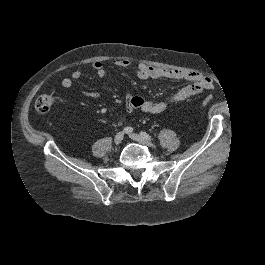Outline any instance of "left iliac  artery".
<instances>
[{
  "label": "left iliac artery",
  "instance_id": "left-iliac-artery-1",
  "mask_svg": "<svg viewBox=\"0 0 265 265\" xmlns=\"http://www.w3.org/2000/svg\"><path fill=\"white\" fill-rule=\"evenodd\" d=\"M141 136H143V137H149V138H151V136H149L146 132H144V131H141Z\"/></svg>",
  "mask_w": 265,
  "mask_h": 265
}]
</instances>
